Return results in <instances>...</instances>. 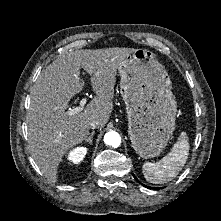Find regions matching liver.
I'll return each instance as SVG.
<instances>
[{
	"label": "liver",
	"mask_w": 221,
	"mask_h": 221,
	"mask_svg": "<svg viewBox=\"0 0 221 221\" xmlns=\"http://www.w3.org/2000/svg\"><path fill=\"white\" fill-rule=\"evenodd\" d=\"M134 48L81 49L58 56L40 74L30 92L26 116L28 146L35 163L50 181H57L58 166L64 155L81 144L93 120L106 125L113 110L117 70ZM83 68L90 75L96 96L85 109L66 115L71 98L84 87Z\"/></svg>",
	"instance_id": "liver-1"
}]
</instances>
